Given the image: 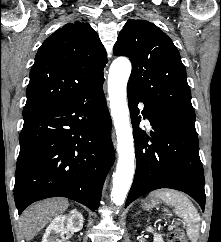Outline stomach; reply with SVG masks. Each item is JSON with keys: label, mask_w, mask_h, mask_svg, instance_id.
<instances>
[{"label": "stomach", "mask_w": 221, "mask_h": 242, "mask_svg": "<svg viewBox=\"0 0 221 242\" xmlns=\"http://www.w3.org/2000/svg\"><path fill=\"white\" fill-rule=\"evenodd\" d=\"M159 201L156 199H151L149 201H144L143 202V208L146 210L152 209L154 206L158 205Z\"/></svg>", "instance_id": "obj_1"}]
</instances>
